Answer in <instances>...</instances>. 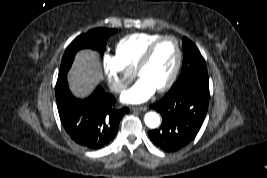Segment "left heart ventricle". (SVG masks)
I'll return each instance as SVG.
<instances>
[{
	"label": "left heart ventricle",
	"mask_w": 267,
	"mask_h": 178,
	"mask_svg": "<svg viewBox=\"0 0 267 178\" xmlns=\"http://www.w3.org/2000/svg\"><path fill=\"white\" fill-rule=\"evenodd\" d=\"M177 59L175 42L164 40L155 50L148 65L138 74L139 79L147 80L155 89L161 87L171 75Z\"/></svg>",
	"instance_id": "left-heart-ventricle-1"
}]
</instances>
